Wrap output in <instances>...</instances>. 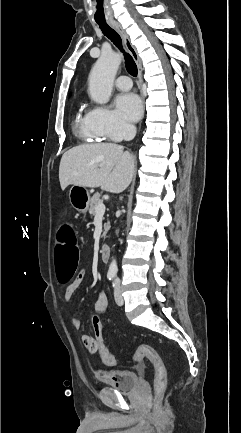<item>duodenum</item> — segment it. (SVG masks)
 I'll return each mask as SVG.
<instances>
[{
    "instance_id": "duodenum-1",
    "label": "duodenum",
    "mask_w": 241,
    "mask_h": 433,
    "mask_svg": "<svg viewBox=\"0 0 241 433\" xmlns=\"http://www.w3.org/2000/svg\"><path fill=\"white\" fill-rule=\"evenodd\" d=\"M111 246L107 243H104L100 246V255L101 259L104 262H107L110 258Z\"/></svg>"
}]
</instances>
